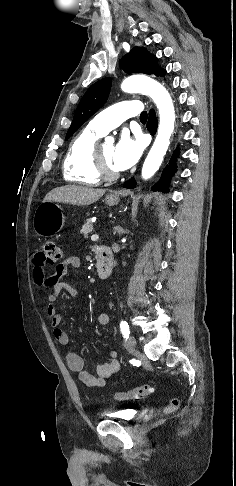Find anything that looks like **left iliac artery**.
<instances>
[{
    "label": "left iliac artery",
    "mask_w": 236,
    "mask_h": 486,
    "mask_svg": "<svg viewBox=\"0 0 236 486\" xmlns=\"http://www.w3.org/2000/svg\"><path fill=\"white\" fill-rule=\"evenodd\" d=\"M120 330L123 334V337L125 339H128L129 338V334H130V329H129V325L126 321L122 320L121 323H120Z\"/></svg>",
    "instance_id": "obj_1"
}]
</instances>
